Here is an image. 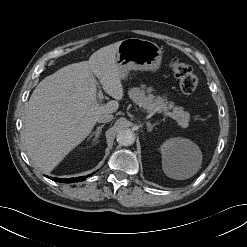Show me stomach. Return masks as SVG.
I'll list each match as a JSON object with an SVG mask.
<instances>
[{"mask_svg":"<svg viewBox=\"0 0 247 247\" xmlns=\"http://www.w3.org/2000/svg\"><path fill=\"white\" fill-rule=\"evenodd\" d=\"M162 60V49L154 42L139 38H128L120 42L116 63L121 79L131 70L156 71Z\"/></svg>","mask_w":247,"mask_h":247,"instance_id":"1","label":"stomach"}]
</instances>
